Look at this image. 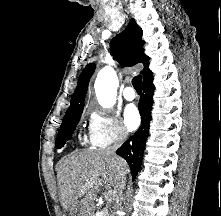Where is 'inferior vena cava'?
<instances>
[{
	"label": "inferior vena cava",
	"instance_id": "obj_1",
	"mask_svg": "<svg viewBox=\"0 0 221 216\" xmlns=\"http://www.w3.org/2000/svg\"><path fill=\"white\" fill-rule=\"evenodd\" d=\"M127 137V132L125 130H121L119 133V136L114 143V145L108 147L105 152L112 157L115 158L116 162V168L118 172V183L115 189V197H116V204H115V209L120 210L121 209V200H122V194L126 185V177H125V172L122 170L121 165L119 163L118 157L115 154V151L118 149V147L125 141Z\"/></svg>",
	"mask_w": 221,
	"mask_h": 216
}]
</instances>
